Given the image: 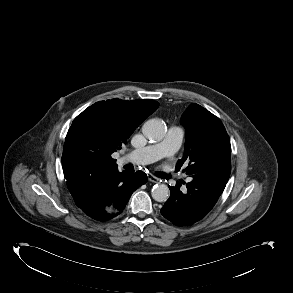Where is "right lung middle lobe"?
<instances>
[{
	"instance_id": "1",
	"label": "right lung middle lobe",
	"mask_w": 293,
	"mask_h": 293,
	"mask_svg": "<svg viewBox=\"0 0 293 293\" xmlns=\"http://www.w3.org/2000/svg\"><path fill=\"white\" fill-rule=\"evenodd\" d=\"M63 160V157H62ZM79 164L84 169H90L94 166H99L104 164V159L102 155L98 152H87L80 156Z\"/></svg>"
}]
</instances>
